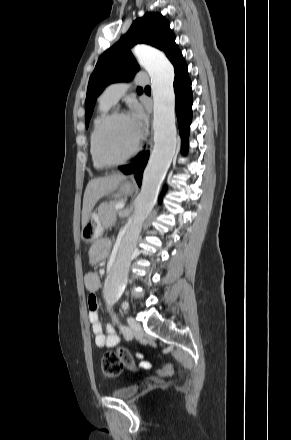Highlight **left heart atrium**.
Masks as SVG:
<instances>
[{
    "label": "left heart atrium",
    "mask_w": 291,
    "mask_h": 440,
    "mask_svg": "<svg viewBox=\"0 0 291 440\" xmlns=\"http://www.w3.org/2000/svg\"><path fill=\"white\" fill-rule=\"evenodd\" d=\"M128 119L138 136L142 133L145 125V116L140 108L135 107L128 116Z\"/></svg>",
    "instance_id": "1"
}]
</instances>
